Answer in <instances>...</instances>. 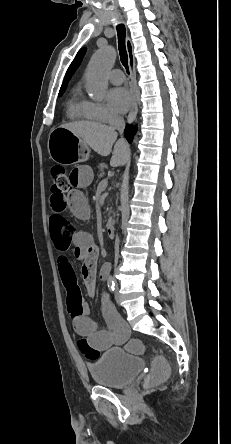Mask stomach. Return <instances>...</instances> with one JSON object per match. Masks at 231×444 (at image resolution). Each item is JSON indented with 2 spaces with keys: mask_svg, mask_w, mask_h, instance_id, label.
<instances>
[{
  "mask_svg": "<svg viewBox=\"0 0 231 444\" xmlns=\"http://www.w3.org/2000/svg\"><path fill=\"white\" fill-rule=\"evenodd\" d=\"M48 151L50 157L60 164L84 162L89 158V148L84 141L63 127L50 133Z\"/></svg>",
  "mask_w": 231,
  "mask_h": 444,
  "instance_id": "0dacf381",
  "label": "stomach"
}]
</instances>
